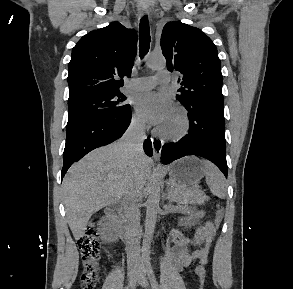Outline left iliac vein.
Listing matches in <instances>:
<instances>
[{"instance_id": "left-iliac-vein-1", "label": "left iliac vein", "mask_w": 293, "mask_h": 289, "mask_svg": "<svg viewBox=\"0 0 293 289\" xmlns=\"http://www.w3.org/2000/svg\"><path fill=\"white\" fill-rule=\"evenodd\" d=\"M137 282L146 289H149L147 284L146 269L142 260L138 262Z\"/></svg>"}]
</instances>
